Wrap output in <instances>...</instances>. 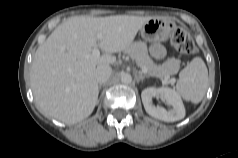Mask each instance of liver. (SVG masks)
Wrapping results in <instances>:
<instances>
[{
	"label": "liver",
	"instance_id": "1",
	"mask_svg": "<svg viewBox=\"0 0 238 158\" xmlns=\"http://www.w3.org/2000/svg\"><path fill=\"white\" fill-rule=\"evenodd\" d=\"M152 18L75 16L60 24L38 47L32 62L31 87L40 110L67 124L87 118L98 99L96 66L115 63L112 54L128 48ZM95 47L105 54L93 57Z\"/></svg>",
	"mask_w": 238,
	"mask_h": 158
}]
</instances>
